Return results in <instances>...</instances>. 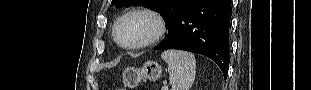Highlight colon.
Wrapping results in <instances>:
<instances>
[{"mask_svg":"<svg viewBox=\"0 0 311 90\" xmlns=\"http://www.w3.org/2000/svg\"><path fill=\"white\" fill-rule=\"evenodd\" d=\"M121 90H126V88H122Z\"/></svg>","mask_w":311,"mask_h":90,"instance_id":"colon-1","label":"colon"}]
</instances>
